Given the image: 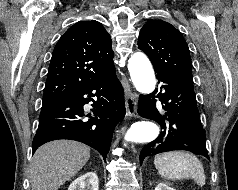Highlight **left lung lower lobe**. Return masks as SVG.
<instances>
[{
    "instance_id": "left-lung-lower-lobe-1",
    "label": "left lung lower lobe",
    "mask_w": 238,
    "mask_h": 190,
    "mask_svg": "<svg viewBox=\"0 0 238 190\" xmlns=\"http://www.w3.org/2000/svg\"><path fill=\"white\" fill-rule=\"evenodd\" d=\"M162 85L159 98L162 106L156 107L155 90L150 95L139 97L140 116L160 124L162 131L140 153V162L150 154L173 150H186L199 153L209 159L206 149V137L197 108L193 81L184 77L156 72ZM152 98V99H151Z\"/></svg>"
}]
</instances>
